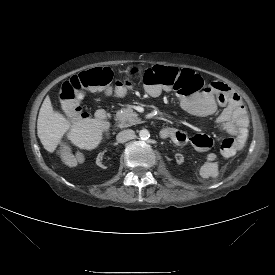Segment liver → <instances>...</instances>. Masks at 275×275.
<instances>
[{"label": "liver", "mask_w": 275, "mask_h": 275, "mask_svg": "<svg viewBox=\"0 0 275 275\" xmlns=\"http://www.w3.org/2000/svg\"><path fill=\"white\" fill-rule=\"evenodd\" d=\"M109 128L110 122L95 118H85L71 124L63 114L53 109L49 97L45 98L37 120L38 137L50 153L55 151L64 135L80 149L93 150Z\"/></svg>", "instance_id": "1"}]
</instances>
